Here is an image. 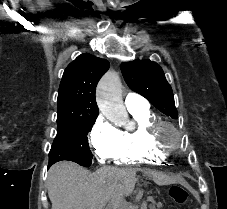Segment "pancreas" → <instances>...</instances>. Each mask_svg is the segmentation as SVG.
I'll return each mask as SVG.
<instances>
[{
	"label": "pancreas",
	"instance_id": "1",
	"mask_svg": "<svg viewBox=\"0 0 227 209\" xmlns=\"http://www.w3.org/2000/svg\"><path fill=\"white\" fill-rule=\"evenodd\" d=\"M151 209H156V207L155 206H152Z\"/></svg>",
	"mask_w": 227,
	"mask_h": 209
}]
</instances>
